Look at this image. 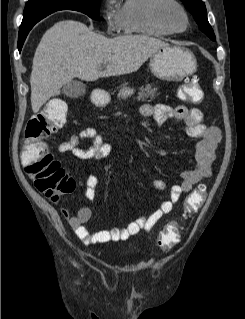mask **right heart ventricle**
Instances as JSON below:
<instances>
[{
	"label": "right heart ventricle",
	"instance_id": "right-heart-ventricle-1",
	"mask_svg": "<svg viewBox=\"0 0 245 319\" xmlns=\"http://www.w3.org/2000/svg\"><path fill=\"white\" fill-rule=\"evenodd\" d=\"M161 0H122L118 11L120 29L125 33L167 36L171 33L155 18L154 6Z\"/></svg>",
	"mask_w": 245,
	"mask_h": 319
}]
</instances>
